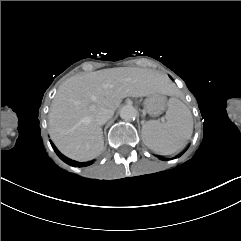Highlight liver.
<instances>
[{
    "mask_svg": "<svg viewBox=\"0 0 241 241\" xmlns=\"http://www.w3.org/2000/svg\"><path fill=\"white\" fill-rule=\"evenodd\" d=\"M169 81L158 71L139 68L105 69L74 75L58 88L49 112V134L65 156L85 162L104 149L96 115L115 111L125 97L167 94Z\"/></svg>",
    "mask_w": 241,
    "mask_h": 241,
    "instance_id": "obj_1",
    "label": "liver"
}]
</instances>
